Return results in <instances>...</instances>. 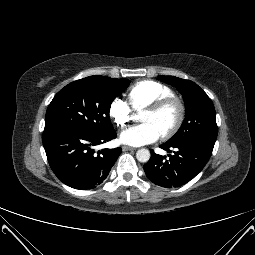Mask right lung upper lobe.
Returning a JSON list of instances; mask_svg holds the SVG:
<instances>
[{"instance_id":"cb5924a9","label":"right lung upper lobe","mask_w":255,"mask_h":255,"mask_svg":"<svg viewBox=\"0 0 255 255\" xmlns=\"http://www.w3.org/2000/svg\"><path fill=\"white\" fill-rule=\"evenodd\" d=\"M90 77H100V76H90Z\"/></svg>"}]
</instances>
